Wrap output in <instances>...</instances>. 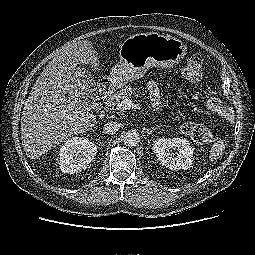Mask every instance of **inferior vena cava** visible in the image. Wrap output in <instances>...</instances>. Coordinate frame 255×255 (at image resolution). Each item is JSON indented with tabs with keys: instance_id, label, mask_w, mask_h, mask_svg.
<instances>
[{
	"instance_id": "602c4592",
	"label": "inferior vena cava",
	"mask_w": 255,
	"mask_h": 255,
	"mask_svg": "<svg viewBox=\"0 0 255 255\" xmlns=\"http://www.w3.org/2000/svg\"><path fill=\"white\" fill-rule=\"evenodd\" d=\"M120 127L121 125L117 122H108L104 125L103 131L105 134L113 135L120 129Z\"/></svg>"
}]
</instances>
